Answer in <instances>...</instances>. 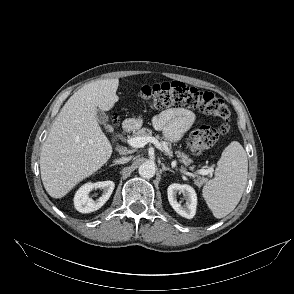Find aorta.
<instances>
[{"instance_id": "762f6f07", "label": "aorta", "mask_w": 294, "mask_h": 294, "mask_svg": "<svg viewBox=\"0 0 294 294\" xmlns=\"http://www.w3.org/2000/svg\"><path fill=\"white\" fill-rule=\"evenodd\" d=\"M138 172L139 175L143 178H152L156 172L155 164L151 162H145L139 166Z\"/></svg>"}]
</instances>
